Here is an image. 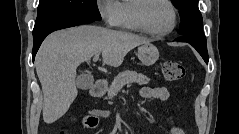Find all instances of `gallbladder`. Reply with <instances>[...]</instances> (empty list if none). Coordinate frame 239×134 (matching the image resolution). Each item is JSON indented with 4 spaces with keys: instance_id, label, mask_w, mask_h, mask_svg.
Here are the masks:
<instances>
[{
    "instance_id": "gallbladder-1",
    "label": "gallbladder",
    "mask_w": 239,
    "mask_h": 134,
    "mask_svg": "<svg viewBox=\"0 0 239 134\" xmlns=\"http://www.w3.org/2000/svg\"><path fill=\"white\" fill-rule=\"evenodd\" d=\"M93 81H94L93 77L86 75V74H82V75L78 76L76 85L78 88H80L82 90H86V89H89L93 85Z\"/></svg>"
}]
</instances>
